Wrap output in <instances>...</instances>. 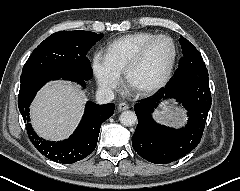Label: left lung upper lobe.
I'll list each match as a JSON object with an SVG mask.
<instances>
[{"instance_id": "obj_1", "label": "left lung upper lobe", "mask_w": 240, "mask_h": 191, "mask_svg": "<svg viewBox=\"0 0 240 191\" xmlns=\"http://www.w3.org/2000/svg\"><path fill=\"white\" fill-rule=\"evenodd\" d=\"M179 43L182 46L183 53V57L180 60L179 66H183L186 68V70L192 72H207L203 58L195 46L182 36L179 39Z\"/></svg>"}]
</instances>
